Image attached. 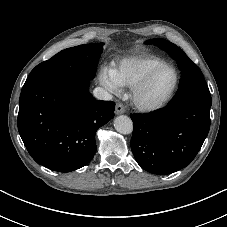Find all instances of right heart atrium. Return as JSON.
Listing matches in <instances>:
<instances>
[{
    "instance_id": "d8ad5b80",
    "label": "right heart atrium",
    "mask_w": 227,
    "mask_h": 227,
    "mask_svg": "<svg viewBox=\"0 0 227 227\" xmlns=\"http://www.w3.org/2000/svg\"><path fill=\"white\" fill-rule=\"evenodd\" d=\"M101 85L110 93L118 95L121 93V86L116 81L112 70L104 68L99 75Z\"/></svg>"
}]
</instances>
